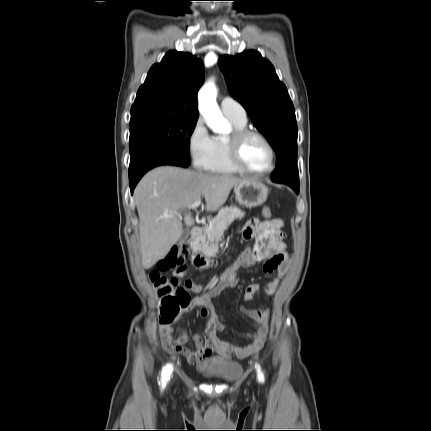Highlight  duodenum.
<instances>
[{
	"label": "duodenum",
	"instance_id": "1",
	"mask_svg": "<svg viewBox=\"0 0 431 431\" xmlns=\"http://www.w3.org/2000/svg\"><path fill=\"white\" fill-rule=\"evenodd\" d=\"M201 235L202 229L197 226L193 227L190 234V242L196 243L200 239ZM194 264L199 268L210 267L213 265V260L197 255L194 257Z\"/></svg>",
	"mask_w": 431,
	"mask_h": 431
}]
</instances>
